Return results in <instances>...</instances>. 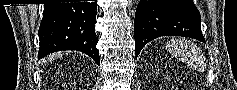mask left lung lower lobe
<instances>
[{"label": "left lung lower lobe", "mask_w": 237, "mask_h": 90, "mask_svg": "<svg viewBox=\"0 0 237 90\" xmlns=\"http://www.w3.org/2000/svg\"><path fill=\"white\" fill-rule=\"evenodd\" d=\"M136 58L160 36H184L205 42L201 16L193 0H140L134 21Z\"/></svg>", "instance_id": "obj_1"}]
</instances>
